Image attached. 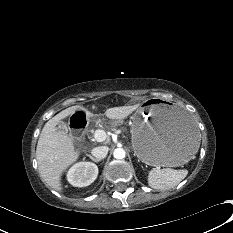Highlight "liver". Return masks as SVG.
I'll list each match as a JSON object with an SVG mask.
<instances>
[{
	"label": "liver",
	"instance_id": "6515ba94",
	"mask_svg": "<svg viewBox=\"0 0 233 233\" xmlns=\"http://www.w3.org/2000/svg\"><path fill=\"white\" fill-rule=\"evenodd\" d=\"M140 104L109 108L105 116L112 120H122L134 112ZM83 112L86 118L93 117L81 106L69 107L52 119L43 127L36 148V159L42 180L52 189L61 191L62 173L79 158L80 152L75 150L73 137L63 131H56V126L70 114Z\"/></svg>",
	"mask_w": 233,
	"mask_h": 233
}]
</instances>
